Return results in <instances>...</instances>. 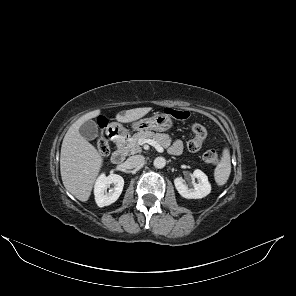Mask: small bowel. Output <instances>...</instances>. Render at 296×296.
<instances>
[{"mask_svg": "<svg viewBox=\"0 0 296 296\" xmlns=\"http://www.w3.org/2000/svg\"><path fill=\"white\" fill-rule=\"evenodd\" d=\"M182 150H183V143L180 140L175 141L169 149L170 153L175 155L180 154Z\"/></svg>", "mask_w": 296, "mask_h": 296, "instance_id": "1", "label": "small bowel"}]
</instances>
